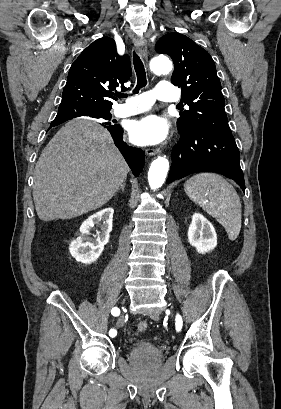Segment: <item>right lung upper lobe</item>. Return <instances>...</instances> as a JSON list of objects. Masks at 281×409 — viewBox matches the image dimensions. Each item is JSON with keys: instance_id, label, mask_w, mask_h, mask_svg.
Returning a JSON list of instances; mask_svg holds the SVG:
<instances>
[{"instance_id": "right-lung-upper-lobe-1", "label": "right lung upper lobe", "mask_w": 281, "mask_h": 409, "mask_svg": "<svg viewBox=\"0 0 281 409\" xmlns=\"http://www.w3.org/2000/svg\"><path fill=\"white\" fill-rule=\"evenodd\" d=\"M131 76L127 55L119 56L112 38L90 44L72 64L62 94L61 110L110 112L116 87ZM69 119V118H64Z\"/></svg>"}]
</instances>
